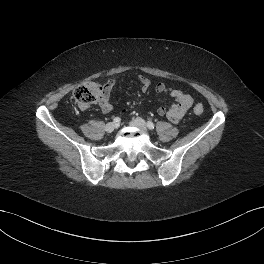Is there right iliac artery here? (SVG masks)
Segmentation results:
<instances>
[{
	"label": "right iliac artery",
	"mask_w": 264,
	"mask_h": 264,
	"mask_svg": "<svg viewBox=\"0 0 264 264\" xmlns=\"http://www.w3.org/2000/svg\"><path fill=\"white\" fill-rule=\"evenodd\" d=\"M120 121H121V119L119 117H115L113 119V122L116 123V124L120 123Z\"/></svg>",
	"instance_id": "82829eb1"
}]
</instances>
